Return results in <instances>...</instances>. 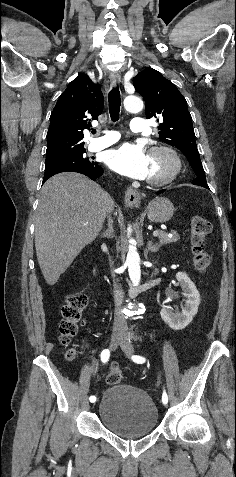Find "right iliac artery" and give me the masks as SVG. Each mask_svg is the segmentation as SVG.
<instances>
[{"instance_id": "obj_1", "label": "right iliac artery", "mask_w": 236, "mask_h": 477, "mask_svg": "<svg viewBox=\"0 0 236 477\" xmlns=\"http://www.w3.org/2000/svg\"><path fill=\"white\" fill-rule=\"evenodd\" d=\"M100 357H101V361H102L103 363H107L108 360H109V357H110V351H109V349H104V350L101 352ZM89 400H90V401H89L90 404H92V405H95V404L97 403V400H96V397H95V396H90Z\"/></svg>"}]
</instances>
